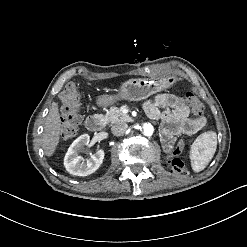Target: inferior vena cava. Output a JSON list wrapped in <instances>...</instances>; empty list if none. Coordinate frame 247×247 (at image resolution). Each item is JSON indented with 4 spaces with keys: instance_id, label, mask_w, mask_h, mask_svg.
I'll list each match as a JSON object with an SVG mask.
<instances>
[{
    "instance_id": "602c4592",
    "label": "inferior vena cava",
    "mask_w": 247,
    "mask_h": 247,
    "mask_svg": "<svg viewBox=\"0 0 247 247\" xmlns=\"http://www.w3.org/2000/svg\"><path fill=\"white\" fill-rule=\"evenodd\" d=\"M127 129H128V125L126 123L119 122L112 125L111 132L115 136H120L124 134L127 131Z\"/></svg>"
}]
</instances>
